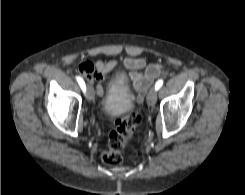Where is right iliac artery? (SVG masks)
Listing matches in <instances>:
<instances>
[{
	"mask_svg": "<svg viewBox=\"0 0 245 195\" xmlns=\"http://www.w3.org/2000/svg\"><path fill=\"white\" fill-rule=\"evenodd\" d=\"M76 79H77V82H78L79 86L81 87L82 91L85 92L86 91V85H85L84 80L80 76H77Z\"/></svg>",
	"mask_w": 245,
	"mask_h": 195,
	"instance_id": "obj_1",
	"label": "right iliac artery"
}]
</instances>
